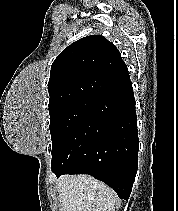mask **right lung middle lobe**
Here are the masks:
<instances>
[{"instance_id":"dd1d6c3e","label":"right lung middle lobe","mask_w":178,"mask_h":211,"mask_svg":"<svg viewBox=\"0 0 178 211\" xmlns=\"http://www.w3.org/2000/svg\"><path fill=\"white\" fill-rule=\"evenodd\" d=\"M96 102L92 99H79L49 108L52 154Z\"/></svg>"}]
</instances>
